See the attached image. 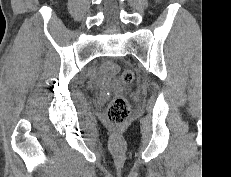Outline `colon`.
I'll use <instances>...</instances> for the list:
<instances>
[{"mask_svg":"<svg viewBox=\"0 0 231 177\" xmlns=\"http://www.w3.org/2000/svg\"><path fill=\"white\" fill-rule=\"evenodd\" d=\"M134 79L131 70L125 69L117 78V85H129ZM131 107L126 97L115 95L109 103L107 109V119L114 126H120L125 123L130 115Z\"/></svg>","mask_w":231,"mask_h":177,"instance_id":"obj_1","label":"colon"}]
</instances>
